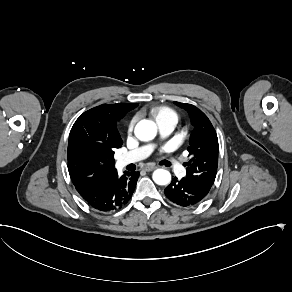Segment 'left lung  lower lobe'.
<instances>
[{
  "label": "left lung lower lobe",
  "mask_w": 292,
  "mask_h": 292,
  "mask_svg": "<svg viewBox=\"0 0 292 292\" xmlns=\"http://www.w3.org/2000/svg\"><path fill=\"white\" fill-rule=\"evenodd\" d=\"M164 193L173 203L188 207L202 201L209 193V190L192 185L186 182L184 178L181 180L174 178L171 184L165 188Z\"/></svg>",
  "instance_id": "left-lung-lower-lobe-1"
}]
</instances>
